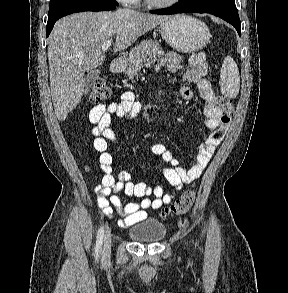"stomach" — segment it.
Returning a JSON list of instances; mask_svg holds the SVG:
<instances>
[{"mask_svg":"<svg viewBox=\"0 0 288 293\" xmlns=\"http://www.w3.org/2000/svg\"><path fill=\"white\" fill-rule=\"evenodd\" d=\"M161 35L169 46L182 53L203 49L211 36L205 23L188 15L170 16L161 23Z\"/></svg>","mask_w":288,"mask_h":293,"instance_id":"stomach-1","label":"stomach"}]
</instances>
